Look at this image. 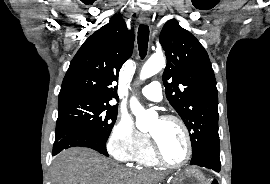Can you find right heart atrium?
I'll return each mask as SVG.
<instances>
[{"instance_id": "right-heart-atrium-1", "label": "right heart atrium", "mask_w": 270, "mask_h": 184, "mask_svg": "<svg viewBox=\"0 0 270 184\" xmlns=\"http://www.w3.org/2000/svg\"><path fill=\"white\" fill-rule=\"evenodd\" d=\"M148 136L140 132L129 116L121 115L114 123L107 140V150L120 162H130L147 145Z\"/></svg>"}]
</instances>
